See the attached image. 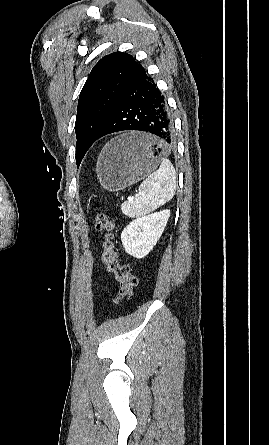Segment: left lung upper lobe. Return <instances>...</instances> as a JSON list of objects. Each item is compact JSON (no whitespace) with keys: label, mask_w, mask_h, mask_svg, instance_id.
<instances>
[{"label":"left lung upper lobe","mask_w":269,"mask_h":445,"mask_svg":"<svg viewBox=\"0 0 269 445\" xmlns=\"http://www.w3.org/2000/svg\"><path fill=\"white\" fill-rule=\"evenodd\" d=\"M137 66L131 55L115 52L104 56L93 67L78 101L75 122L78 166L116 108Z\"/></svg>","instance_id":"left-lung-upper-lobe-1"}]
</instances>
